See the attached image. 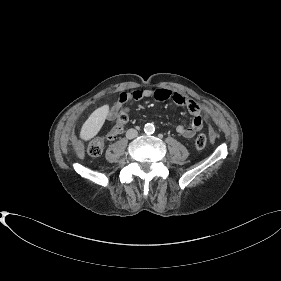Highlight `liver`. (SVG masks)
<instances>
[{"label":"liver","mask_w":281,"mask_h":281,"mask_svg":"<svg viewBox=\"0 0 281 281\" xmlns=\"http://www.w3.org/2000/svg\"><path fill=\"white\" fill-rule=\"evenodd\" d=\"M109 113V105H103L97 108L89 118L84 122L80 131V138L88 141L95 137L102 128Z\"/></svg>","instance_id":"liver-1"}]
</instances>
